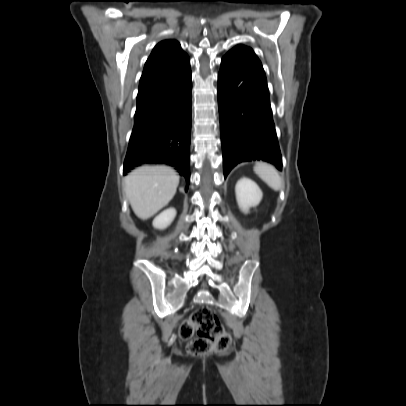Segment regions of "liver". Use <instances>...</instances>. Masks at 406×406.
Listing matches in <instances>:
<instances>
[{"label": "liver", "mask_w": 406, "mask_h": 406, "mask_svg": "<svg viewBox=\"0 0 406 406\" xmlns=\"http://www.w3.org/2000/svg\"><path fill=\"white\" fill-rule=\"evenodd\" d=\"M179 176L164 165L142 166L124 179V190L134 213L147 220L174 197Z\"/></svg>", "instance_id": "1"}]
</instances>
